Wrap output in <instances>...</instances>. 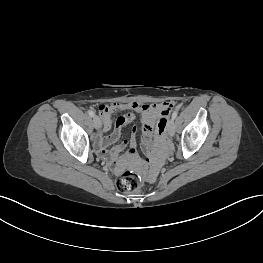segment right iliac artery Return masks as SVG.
Returning <instances> with one entry per match:
<instances>
[{
    "mask_svg": "<svg viewBox=\"0 0 263 263\" xmlns=\"http://www.w3.org/2000/svg\"><path fill=\"white\" fill-rule=\"evenodd\" d=\"M88 114H89L91 117H94V116H95V113H94V111H92V110H90V111L88 112Z\"/></svg>",
    "mask_w": 263,
    "mask_h": 263,
    "instance_id": "right-iliac-artery-1",
    "label": "right iliac artery"
}]
</instances>
